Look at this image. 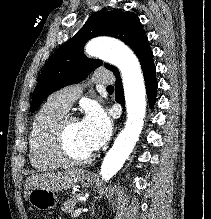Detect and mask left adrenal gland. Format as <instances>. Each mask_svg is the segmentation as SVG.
<instances>
[{
	"label": "left adrenal gland",
	"mask_w": 211,
	"mask_h": 219,
	"mask_svg": "<svg viewBox=\"0 0 211 219\" xmlns=\"http://www.w3.org/2000/svg\"><path fill=\"white\" fill-rule=\"evenodd\" d=\"M93 210V212H92V215L94 214V209H92Z\"/></svg>",
	"instance_id": "left-adrenal-gland-1"
}]
</instances>
